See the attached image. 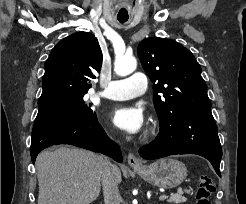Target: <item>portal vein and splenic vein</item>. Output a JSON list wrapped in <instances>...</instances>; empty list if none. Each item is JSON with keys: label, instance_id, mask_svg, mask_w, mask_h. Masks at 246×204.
Segmentation results:
<instances>
[{"label": "portal vein and splenic vein", "instance_id": "1", "mask_svg": "<svg viewBox=\"0 0 246 204\" xmlns=\"http://www.w3.org/2000/svg\"><path fill=\"white\" fill-rule=\"evenodd\" d=\"M166 198H167L166 195H161V196L159 197L160 200H164V199H166Z\"/></svg>", "mask_w": 246, "mask_h": 204}]
</instances>
